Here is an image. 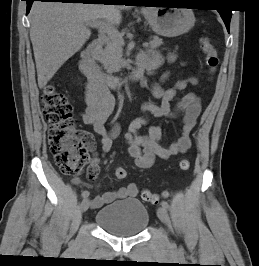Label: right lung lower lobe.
Instances as JSON below:
<instances>
[{
	"label": "right lung lower lobe",
	"instance_id": "right-lung-lower-lobe-1",
	"mask_svg": "<svg viewBox=\"0 0 259 266\" xmlns=\"http://www.w3.org/2000/svg\"><path fill=\"white\" fill-rule=\"evenodd\" d=\"M27 1V14L30 11L31 5L34 1H42V2H62V3H84V4H105L106 3H118V1L122 0H24ZM112 1V2H111Z\"/></svg>",
	"mask_w": 259,
	"mask_h": 266
}]
</instances>
